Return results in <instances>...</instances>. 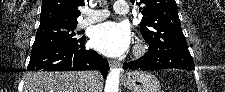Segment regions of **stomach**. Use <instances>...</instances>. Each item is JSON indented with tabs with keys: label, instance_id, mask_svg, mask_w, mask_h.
<instances>
[{
	"label": "stomach",
	"instance_id": "obj_1",
	"mask_svg": "<svg viewBox=\"0 0 225 92\" xmlns=\"http://www.w3.org/2000/svg\"><path fill=\"white\" fill-rule=\"evenodd\" d=\"M123 84L131 92H160L159 81L145 71L129 72L124 76Z\"/></svg>",
	"mask_w": 225,
	"mask_h": 92
}]
</instances>
